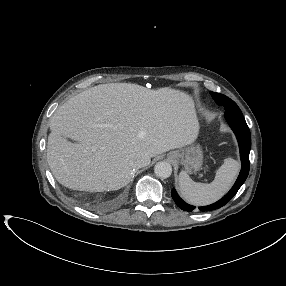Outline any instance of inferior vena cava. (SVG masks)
Returning <instances> with one entry per match:
<instances>
[{
	"label": "inferior vena cava",
	"instance_id": "1",
	"mask_svg": "<svg viewBox=\"0 0 286 286\" xmlns=\"http://www.w3.org/2000/svg\"><path fill=\"white\" fill-rule=\"evenodd\" d=\"M139 167H141V166L139 164H137L135 168H139Z\"/></svg>",
	"mask_w": 286,
	"mask_h": 286
}]
</instances>
